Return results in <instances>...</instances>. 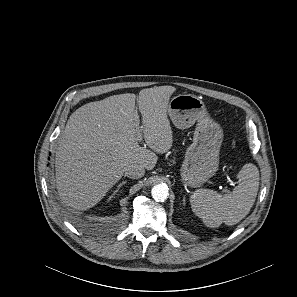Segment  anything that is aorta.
Here are the masks:
<instances>
[{
	"instance_id": "obj_1",
	"label": "aorta",
	"mask_w": 297,
	"mask_h": 297,
	"mask_svg": "<svg viewBox=\"0 0 297 297\" xmlns=\"http://www.w3.org/2000/svg\"><path fill=\"white\" fill-rule=\"evenodd\" d=\"M153 199L157 202H164L168 196V187L165 184H157L151 190Z\"/></svg>"
}]
</instances>
